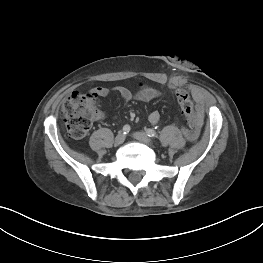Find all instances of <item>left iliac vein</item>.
<instances>
[{"label":"left iliac vein","mask_w":263,"mask_h":263,"mask_svg":"<svg viewBox=\"0 0 263 263\" xmlns=\"http://www.w3.org/2000/svg\"><path fill=\"white\" fill-rule=\"evenodd\" d=\"M133 137L141 143H144L149 146L152 145V140L148 137L147 134L143 132H135L133 133Z\"/></svg>","instance_id":"obj_1"}]
</instances>
